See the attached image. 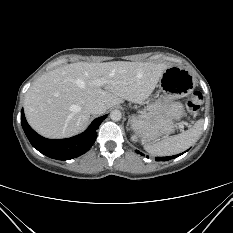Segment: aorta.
Here are the masks:
<instances>
[{"label":"aorta","instance_id":"762f6f07","mask_svg":"<svg viewBox=\"0 0 233 233\" xmlns=\"http://www.w3.org/2000/svg\"><path fill=\"white\" fill-rule=\"evenodd\" d=\"M110 118H111L113 121H120L121 118H122V113H121L119 110H113V111H111V113H110Z\"/></svg>","mask_w":233,"mask_h":233}]
</instances>
